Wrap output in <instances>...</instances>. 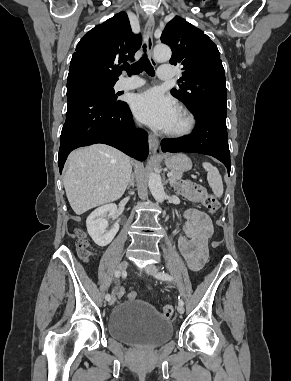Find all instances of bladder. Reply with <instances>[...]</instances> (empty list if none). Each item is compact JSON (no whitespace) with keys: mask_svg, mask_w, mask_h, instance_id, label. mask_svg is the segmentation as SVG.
<instances>
[{"mask_svg":"<svg viewBox=\"0 0 291 381\" xmlns=\"http://www.w3.org/2000/svg\"><path fill=\"white\" fill-rule=\"evenodd\" d=\"M107 331L119 342L153 348L172 337L173 326L149 302L136 298L120 302L111 311Z\"/></svg>","mask_w":291,"mask_h":381,"instance_id":"1","label":"bladder"}]
</instances>
